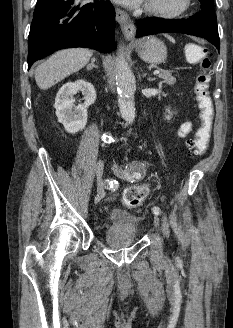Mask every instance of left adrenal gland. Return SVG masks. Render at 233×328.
<instances>
[{"instance_id":"obj_1","label":"left adrenal gland","mask_w":233,"mask_h":328,"mask_svg":"<svg viewBox=\"0 0 233 328\" xmlns=\"http://www.w3.org/2000/svg\"><path fill=\"white\" fill-rule=\"evenodd\" d=\"M142 76H143V78H144V77L146 76V74L143 73ZM154 80H155V78H150V77L148 78V81H154Z\"/></svg>"}]
</instances>
